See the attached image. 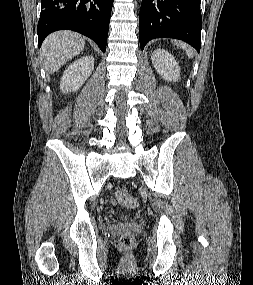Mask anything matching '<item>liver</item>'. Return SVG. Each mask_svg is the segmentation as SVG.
Wrapping results in <instances>:
<instances>
[{"label": "liver", "mask_w": 253, "mask_h": 285, "mask_svg": "<svg viewBox=\"0 0 253 285\" xmlns=\"http://www.w3.org/2000/svg\"><path fill=\"white\" fill-rule=\"evenodd\" d=\"M85 46L84 38L75 32L58 31L49 35L42 44L41 56L45 70L52 74L68 60L78 55Z\"/></svg>", "instance_id": "6515ba94"}]
</instances>
